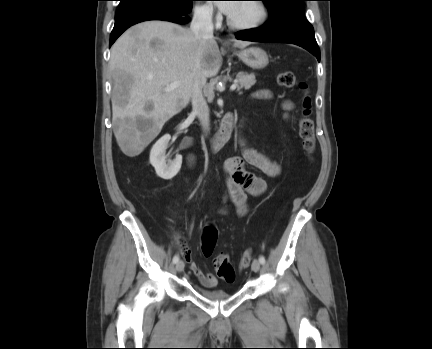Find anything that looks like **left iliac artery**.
I'll return each instance as SVG.
<instances>
[{"label": "left iliac artery", "instance_id": "left-iliac-artery-1", "mask_svg": "<svg viewBox=\"0 0 432 349\" xmlns=\"http://www.w3.org/2000/svg\"><path fill=\"white\" fill-rule=\"evenodd\" d=\"M259 261H260L261 264H264L265 263V257L261 255L259 257Z\"/></svg>", "mask_w": 432, "mask_h": 349}]
</instances>
